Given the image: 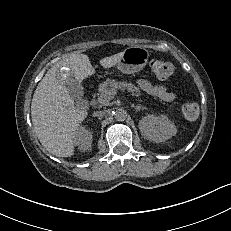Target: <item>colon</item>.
I'll list each match as a JSON object with an SVG mask.
<instances>
[{"label":"colon","mask_w":231,"mask_h":231,"mask_svg":"<svg viewBox=\"0 0 231 231\" xmlns=\"http://www.w3.org/2000/svg\"><path fill=\"white\" fill-rule=\"evenodd\" d=\"M149 67L151 74L159 80L168 79L174 72V66L170 62L158 58L152 59ZM181 112L186 119L194 121L199 116L198 104L194 101L187 100L182 103Z\"/></svg>","instance_id":"5ec220e1"}]
</instances>
